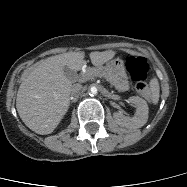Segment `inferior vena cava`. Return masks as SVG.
<instances>
[{
  "instance_id": "1",
  "label": "inferior vena cava",
  "mask_w": 187,
  "mask_h": 187,
  "mask_svg": "<svg viewBox=\"0 0 187 187\" xmlns=\"http://www.w3.org/2000/svg\"><path fill=\"white\" fill-rule=\"evenodd\" d=\"M81 90H82V85H80V84H74V85H72L70 94L72 96H74V95L78 94Z\"/></svg>"
}]
</instances>
